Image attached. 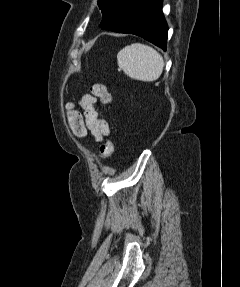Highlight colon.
I'll list each match as a JSON object with an SVG mask.
<instances>
[{
    "instance_id": "colon-1",
    "label": "colon",
    "mask_w": 240,
    "mask_h": 287,
    "mask_svg": "<svg viewBox=\"0 0 240 287\" xmlns=\"http://www.w3.org/2000/svg\"><path fill=\"white\" fill-rule=\"evenodd\" d=\"M91 93L99 99L103 104L112 102V94L107 87L102 83H94L91 86ZM68 124L72 133L78 138L86 136V128L83 122V117L80 112L68 107ZM114 151V144L110 139H107L100 147V156L102 159H108Z\"/></svg>"
}]
</instances>
